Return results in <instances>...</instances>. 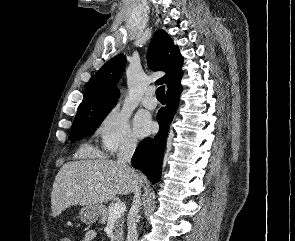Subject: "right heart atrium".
Wrapping results in <instances>:
<instances>
[{"mask_svg": "<svg viewBox=\"0 0 295 241\" xmlns=\"http://www.w3.org/2000/svg\"><path fill=\"white\" fill-rule=\"evenodd\" d=\"M94 135L106 155L134 148L137 144L127 115L117 107L110 109L99 119Z\"/></svg>", "mask_w": 295, "mask_h": 241, "instance_id": "1", "label": "right heart atrium"}]
</instances>
